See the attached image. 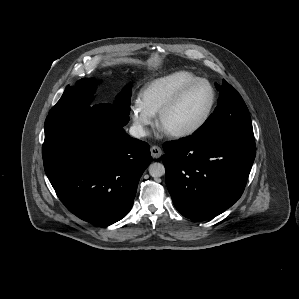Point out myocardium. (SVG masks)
<instances>
[{
	"label": "myocardium",
	"mask_w": 299,
	"mask_h": 299,
	"mask_svg": "<svg viewBox=\"0 0 299 299\" xmlns=\"http://www.w3.org/2000/svg\"><path fill=\"white\" fill-rule=\"evenodd\" d=\"M199 84H205L208 86L210 93H211V98L209 105L202 116V118L193 126L180 130V131H173V132H168L163 129V120L165 116L179 103V101L183 98V96L193 87L199 85ZM216 91L213 85L206 79L203 78H198L196 80H193L184 86H182L174 95L173 97L161 108V110L158 113V126L160 129H162L165 133H167L169 136L174 137V138H185L192 136L199 132L208 122L210 119L213 109L216 104Z\"/></svg>",
	"instance_id": "obj_1"
}]
</instances>
